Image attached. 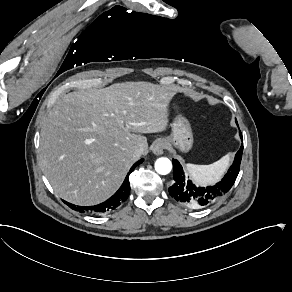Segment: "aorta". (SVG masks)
<instances>
[{"label": "aorta", "instance_id": "obj_1", "mask_svg": "<svg viewBox=\"0 0 292 292\" xmlns=\"http://www.w3.org/2000/svg\"><path fill=\"white\" fill-rule=\"evenodd\" d=\"M172 169V163L168 158H159L155 162V170L161 175H166L170 173Z\"/></svg>", "mask_w": 292, "mask_h": 292}]
</instances>
